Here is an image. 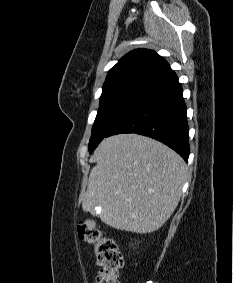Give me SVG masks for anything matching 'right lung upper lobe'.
<instances>
[{
	"label": "right lung upper lobe",
	"instance_id": "cb5924a9",
	"mask_svg": "<svg viewBox=\"0 0 233 283\" xmlns=\"http://www.w3.org/2000/svg\"><path fill=\"white\" fill-rule=\"evenodd\" d=\"M171 71L156 52L136 49L123 56L108 72L103 89L132 80L152 81Z\"/></svg>",
	"mask_w": 233,
	"mask_h": 283
}]
</instances>
